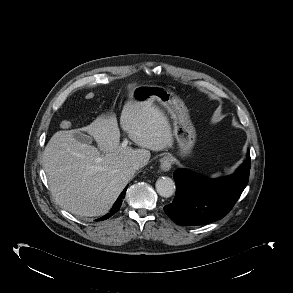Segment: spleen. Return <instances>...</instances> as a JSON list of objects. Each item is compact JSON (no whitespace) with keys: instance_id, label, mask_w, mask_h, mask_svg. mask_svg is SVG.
I'll use <instances>...</instances> for the list:
<instances>
[{"instance_id":"1","label":"spleen","mask_w":293,"mask_h":293,"mask_svg":"<svg viewBox=\"0 0 293 293\" xmlns=\"http://www.w3.org/2000/svg\"><path fill=\"white\" fill-rule=\"evenodd\" d=\"M220 176H221V173L220 172H217V173L213 174L211 177L212 178H218Z\"/></svg>"}]
</instances>
